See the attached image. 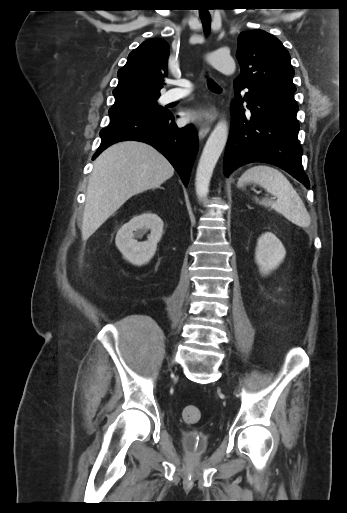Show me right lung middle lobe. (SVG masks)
<instances>
[{"mask_svg":"<svg viewBox=\"0 0 347 513\" xmlns=\"http://www.w3.org/2000/svg\"><path fill=\"white\" fill-rule=\"evenodd\" d=\"M157 99L158 97H148L113 105L109 110L110 120L131 115H162L167 110L158 105Z\"/></svg>","mask_w":347,"mask_h":513,"instance_id":"right-lung-middle-lobe-1","label":"right lung middle lobe"}]
</instances>
